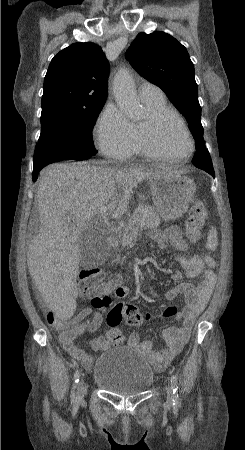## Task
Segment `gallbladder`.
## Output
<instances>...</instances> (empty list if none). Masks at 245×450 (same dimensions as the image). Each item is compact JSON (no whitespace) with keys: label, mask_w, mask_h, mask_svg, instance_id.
<instances>
[{"label":"gallbladder","mask_w":245,"mask_h":450,"mask_svg":"<svg viewBox=\"0 0 245 450\" xmlns=\"http://www.w3.org/2000/svg\"><path fill=\"white\" fill-rule=\"evenodd\" d=\"M80 253V264L89 266L104 262L108 255V248L102 240L92 239L90 236L83 235L77 242Z\"/></svg>","instance_id":"gallbladder-1"}]
</instances>
